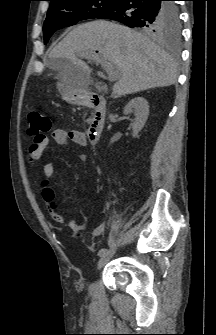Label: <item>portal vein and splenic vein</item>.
Masks as SVG:
<instances>
[{
	"label": "portal vein and splenic vein",
	"instance_id": "18ae733b",
	"mask_svg": "<svg viewBox=\"0 0 216 335\" xmlns=\"http://www.w3.org/2000/svg\"><path fill=\"white\" fill-rule=\"evenodd\" d=\"M81 57L86 58V59H92L101 64L103 69L107 72L108 79L110 82H115L118 80L119 75L116 71L115 66L113 63L108 61L105 57L98 55L96 53H84L81 55Z\"/></svg>",
	"mask_w": 216,
	"mask_h": 335
}]
</instances>
